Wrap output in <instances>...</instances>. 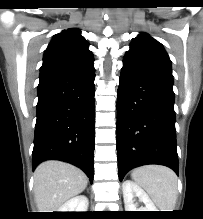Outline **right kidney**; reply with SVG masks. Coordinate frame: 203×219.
<instances>
[{
    "instance_id": "obj_1",
    "label": "right kidney",
    "mask_w": 203,
    "mask_h": 219,
    "mask_svg": "<svg viewBox=\"0 0 203 219\" xmlns=\"http://www.w3.org/2000/svg\"><path fill=\"white\" fill-rule=\"evenodd\" d=\"M88 198L84 195L76 196L65 202L58 212H87Z\"/></svg>"
}]
</instances>
